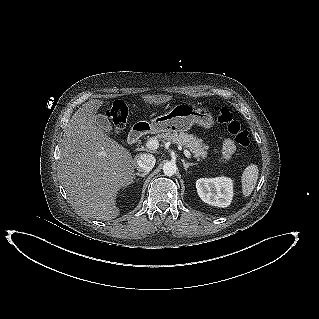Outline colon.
<instances>
[{"label": "colon", "mask_w": 319, "mask_h": 319, "mask_svg": "<svg viewBox=\"0 0 319 319\" xmlns=\"http://www.w3.org/2000/svg\"><path fill=\"white\" fill-rule=\"evenodd\" d=\"M216 118L218 122L225 124L227 130L235 138L238 145L248 147L250 145L249 134L242 128L240 120L227 107H216ZM128 108L125 102L117 100L108 111V117L116 133L122 131L126 125Z\"/></svg>", "instance_id": "1"}]
</instances>
